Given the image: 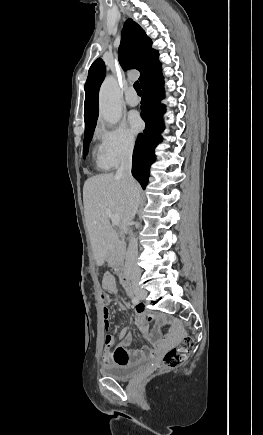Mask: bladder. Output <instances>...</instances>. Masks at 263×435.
<instances>
[{"instance_id":"obj_1","label":"bladder","mask_w":263,"mask_h":435,"mask_svg":"<svg viewBox=\"0 0 263 435\" xmlns=\"http://www.w3.org/2000/svg\"><path fill=\"white\" fill-rule=\"evenodd\" d=\"M147 360H140L137 362L121 365H109L102 369L105 376L116 380H127L134 376L145 364Z\"/></svg>"}]
</instances>
